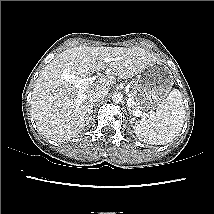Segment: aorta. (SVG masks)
I'll list each match as a JSON object with an SVG mask.
<instances>
[{"label": "aorta", "instance_id": "762f6f07", "mask_svg": "<svg viewBox=\"0 0 214 214\" xmlns=\"http://www.w3.org/2000/svg\"><path fill=\"white\" fill-rule=\"evenodd\" d=\"M123 100V94L121 92H115L112 96V101L120 103Z\"/></svg>", "mask_w": 214, "mask_h": 214}]
</instances>
